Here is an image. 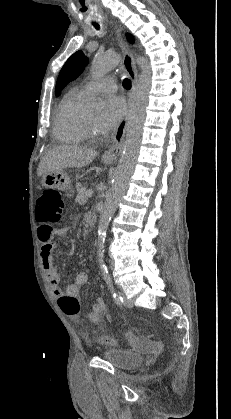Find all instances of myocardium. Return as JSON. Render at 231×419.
I'll return each instance as SVG.
<instances>
[{
	"label": "myocardium",
	"instance_id": "obj_1",
	"mask_svg": "<svg viewBox=\"0 0 231 419\" xmlns=\"http://www.w3.org/2000/svg\"><path fill=\"white\" fill-rule=\"evenodd\" d=\"M83 128L87 137L93 139L98 138L99 133L97 128L90 122L87 115H84L83 117Z\"/></svg>",
	"mask_w": 231,
	"mask_h": 419
}]
</instances>
